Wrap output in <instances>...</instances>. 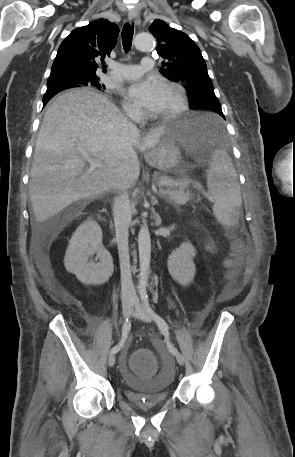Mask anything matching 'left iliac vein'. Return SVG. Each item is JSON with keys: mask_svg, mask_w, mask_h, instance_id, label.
Returning a JSON list of instances; mask_svg holds the SVG:
<instances>
[{"mask_svg": "<svg viewBox=\"0 0 295 457\" xmlns=\"http://www.w3.org/2000/svg\"><path fill=\"white\" fill-rule=\"evenodd\" d=\"M135 310L134 315L144 322H151L153 320L150 313L146 310V308L138 301V299L134 302ZM176 360L180 365H184V357L181 353L175 354Z\"/></svg>", "mask_w": 295, "mask_h": 457, "instance_id": "1", "label": "left iliac vein"}]
</instances>
